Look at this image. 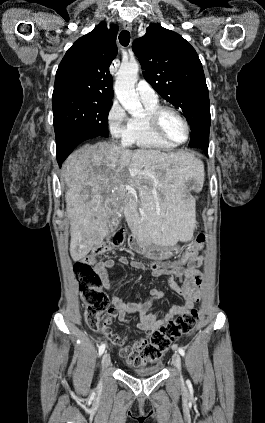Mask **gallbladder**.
I'll list each match as a JSON object with an SVG mask.
<instances>
[{
  "mask_svg": "<svg viewBox=\"0 0 265 423\" xmlns=\"http://www.w3.org/2000/svg\"><path fill=\"white\" fill-rule=\"evenodd\" d=\"M118 225H119V220H118V218H115V219L112 221V226L116 228Z\"/></svg>",
  "mask_w": 265,
  "mask_h": 423,
  "instance_id": "obj_1",
  "label": "gallbladder"
}]
</instances>
